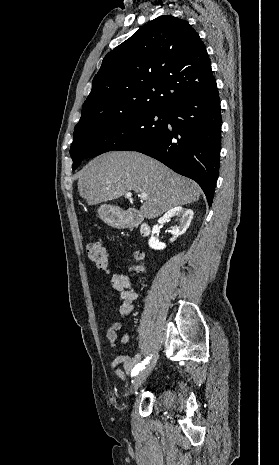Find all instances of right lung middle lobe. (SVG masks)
Listing matches in <instances>:
<instances>
[{
  "label": "right lung middle lobe",
  "instance_id": "right-lung-middle-lobe-1",
  "mask_svg": "<svg viewBox=\"0 0 279 465\" xmlns=\"http://www.w3.org/2000/svg\"><path fill=\"white\" fill-rule=\"evenodd\" d=\"M166 123V110L146 109L101 125L75 127L70 148L72 169L89 157L128 146L146 145L162 133Z\"/></svg>",
  "mask_w": 279,
  "mask_h": 465
}]
</instances>
